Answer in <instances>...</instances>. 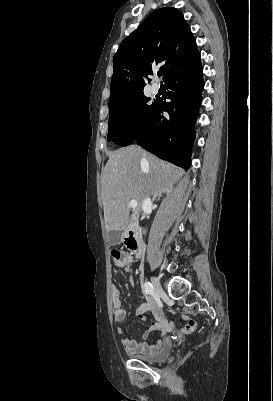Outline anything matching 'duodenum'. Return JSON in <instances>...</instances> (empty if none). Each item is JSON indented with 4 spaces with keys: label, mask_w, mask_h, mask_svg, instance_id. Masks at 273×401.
Listing matches in <instances>:
<instances>
[{
    "label": "duodenum",
    "mask_w": 273,
    "mask_h": 401,
    "mask_svg": "<svg viewBox=\"0 0 273 401\" xmlns=\"http://www.w3.org/2000/svg\"><path fill=\"white\" fill-rule=\"evenodd\" d=\"M124 243L132 252L134 257H139L143 251V243L139 233V225L136 221H131L124 235Z\"/></svg>",
    "instance_id": "410a0bca"
}]
</instances>
